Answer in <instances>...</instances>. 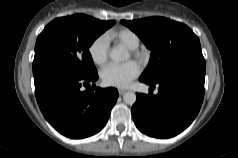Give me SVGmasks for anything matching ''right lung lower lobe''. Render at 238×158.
<instances>
[{
    "label": "right lung lower lobe",
    "instance_id": "98d812e1",
    "mask_svg": "<svg viewBox=\"0 0 238 158\" xmlns=\"http://www.w3.org/2000/svg\"><path fill=\"white\" fill-rule=\"evenodd\" d=\"M32 68L38 105L58 132L80 139L106 125L118 91L96 88L97 74L86 77L50 60L33 63Z\"/></svg>",
    "mask_w": 238,
    "mask_h": 158
}]
</instances>
